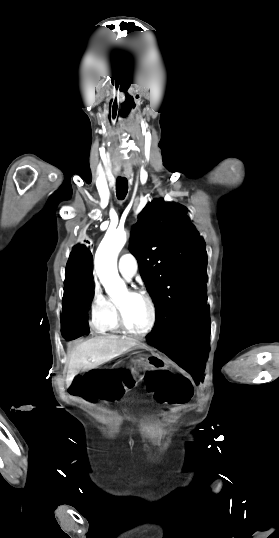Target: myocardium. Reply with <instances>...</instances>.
Instances as JSON below:
<instances>
[{
  "instance_id": "myocardium-1",
  "label": "myocardium",
  "mask_w": 279,
  "mask_h": 538,
  "mask_svg": "<svg viewBox=\"0 0 279 538\" xmlns=\"http://www.w3.org/2000/svg\"><path fill=\"white\" fill-rule=\"evenodd\" d=\"M106 225L107 223L104 222L100 225V227H103ZM126 290L131 296L140 297L146 301L150 309V320L147 327L144 330L142 331L132 330L128 326L127 321H126L124 302L120 299H117V315H118V321H119L120 327L125 333L133 337L144 338L148 336L154 330L156 326L157 311H156L155 303L152 297L149 295V293L146 292L145 290H141V289L135 290V289H129V288Z\"/></svg>"
}]
</instances>
